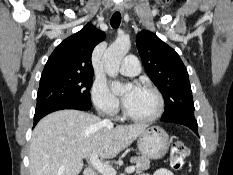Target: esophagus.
I'll return each instance as SVG.
<instances>
[{
  "label": "esophagus",
  "instance_id": "obj_1",
  "mask_svg": "<svg viewBox=\"0 0 233 175\" xmlns=\"http://www.w3.org/2000/svg\"><path fill=\"white\" fill-rule=\"evenodd\" d=\"M115 11L117 12H123L124 10V7L122 4H116L115 7H114Z\"/></svg>",
  "mask_w": 233,
  "mask_h": 175
}]
</instances>
